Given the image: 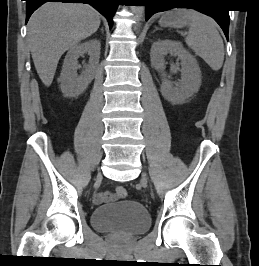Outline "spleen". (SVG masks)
<instances>
[{"instance_id":"spleen-1","label":"spleen","mask_w":259,"mask_h":266,"mask_svg":"<svg viewBox=\"0 0 259 266\" xmlns=\"http://www.w3.org/2000/svg\"><path fill=\"white\" fill-rule=\"evenodd\" d=\"M190 20L185 37L186 44L201 57L214 71H218L224 61V44L214 20L195 10L183 9Z\"/></svg>"}]
</instances>
